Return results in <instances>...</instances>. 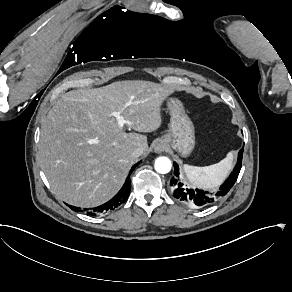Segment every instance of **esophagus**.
Wrapping results in <instances>:
<instances>
[{"mask_svg":"<svg viewBox=\"0 0 292 292\" xmlns=\"http://www.w3.org/2000/svg\"><path fill=\"white\" fill-rule=\"evenodd\" d=\"M163 150H164V142L163 140H159L154 146V151L156 153H161Z\"/></svg>","mask_w":292,"mask_h":292,"instance_id":"34e87169","label":"esophagus"}]
</instances>
